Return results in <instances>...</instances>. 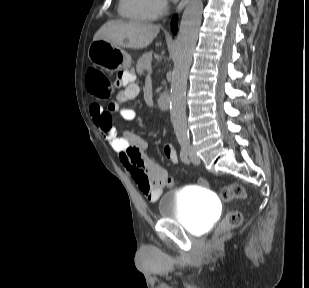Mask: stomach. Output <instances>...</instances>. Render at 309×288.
<instances>
[{
    "mask_svg": "<svg viewBox=\"0 0 309 288\" xmlns=\"http://www.w3.org/2000/svg\"><path fill=\"white\" fill-rule=\"evenodd\" d=\"M88 58L96 66L106 71L127 69L131 66V56L118 46L104 39H94L88 48Z\"/></svg>",
    "mask_w": 309,
    "mask_h": 288,
    "instance_id": "obj_1",
    "label": "stomach"
}]
</instances>
